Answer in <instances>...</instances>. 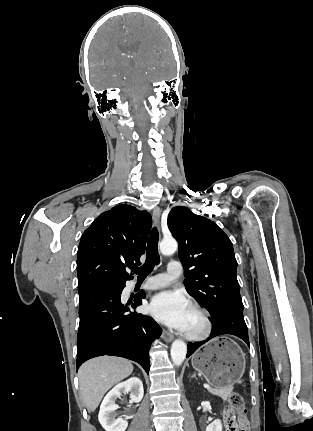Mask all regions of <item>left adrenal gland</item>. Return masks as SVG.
Here are the masks:
<instances>
[{"label":"left adrenal gland","instance_id":"1","mask_svg":"<svg viewBox=\"0 0 313 431\" xmlns=\"http://www.w3.org/2000/svg\"><path fill=\"white\" fill-rule=\"evenodd\" d=\"M191 378H196V373H194V374L191 376Z\"/></svg>","mask_w":313,"mask_h":431}]
</instances>
